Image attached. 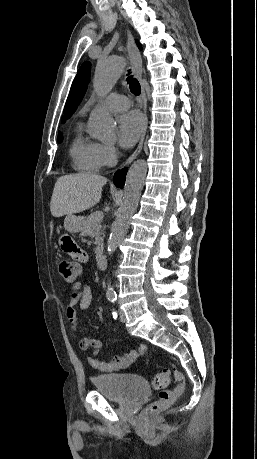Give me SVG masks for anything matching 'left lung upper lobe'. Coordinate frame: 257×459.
I'll return each instance as SVG.
<instances>
[{
	"mask_svg": "<svg viewBox=\"0 0 257 459\" xmlns=\"http://www.w3.org/2000/svg\"><path fill=\"white\" fill-rule=\"evenodd\" d=\"M90 71L91 64L89 62H84L72 83L70 93L65 104L64 112L67 117L72 115V113L76 110L77 106L81 102L87 89Z\"/></svg>",
	"mask_w": 257,
	"mask_h": 459,
	"instance_id": "obj_1",
	"label": "left lung upper lobe"
}]
</instances>
